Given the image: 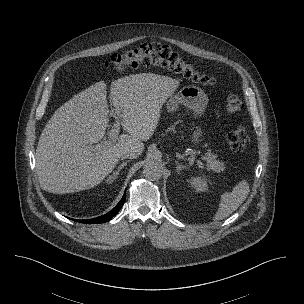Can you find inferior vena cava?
<instances>
[{
  "mask_svg": "<svg viewBox=\"0 0 304 304\" xmlns=\"http://www.w3.org/2000/svg\"><path fill=\"white\" fill-rule=\"evenodd\" d=\"M139 156L138 151L136 150H129V151H125L121 154V158L122 159H134L137 158Z\"/></svg>",
  "mask_w": 304,
  "mask_h": 304,
  "instance_id": "1",
  "label": "inferior vena cava"
}]
</instances>
